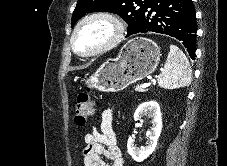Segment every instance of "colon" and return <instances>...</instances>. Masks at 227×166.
<instances>
[{
	"instance_id": "colon-1",
	"label": "colon",
	"mask_w": 227,
	"mask_h": 166,
	"mask_svg": "<svg viewBox=\"0 0 227 166\" xmlns=\"http://www.w3.org/2000/svg\"><path fill=\"white\" fill-rule=\"evenodd\" d=\"M94 113V102L90 91L87 90L77 95L75 100V122L83 126L87 119Z\"/></svg>"
}]
</instances>
